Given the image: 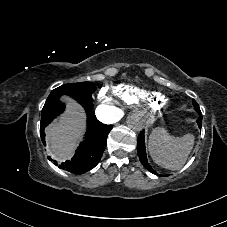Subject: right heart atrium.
I'll use <instances>...</instances> for the list:
<instances>
[{"mask_svg": "<svg viewBox=\"0 0 227 227\" xmlns=\"http://www.w3.org/2000/svg\"><path fill=\"white\" fill-rule=\"evenodd\" d=\"M99 99L105 103H112L111 97L107 94L106 90H102L99 94Z\"/></svg>", "mask_w": 227, "mask_h": 227, "instance_id": "d8ad5b80", "label": "right heart atrium"}]
</instances>
